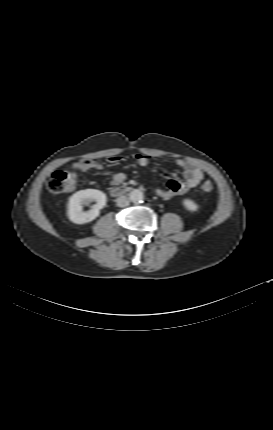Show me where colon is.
<instances>
[{"instance_id":"obj_1","label":"colon","mask_w":273,"mask_h":430,"mask_svg":"<svg viewBox=\"0 0 273 430\" xmlns=\"http://www.w3.org/2000/svg\"><path fill=\"white\" fill-rule=\"evenodd\" d=\"M75 169H81L80 166H75ZM77 182V174L75 171L58 170L52 173L48 182L47 188L53 194H64L74 190ZM201 190L204 193H209L213 190V183L205 181L201 185Z\"/></svg>"}]
</instances>
